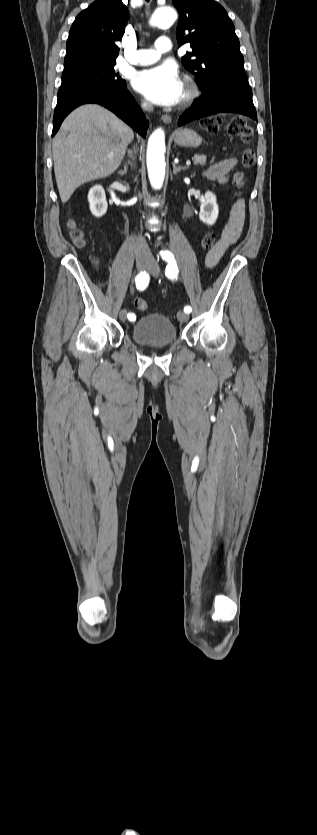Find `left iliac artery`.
<instances>
[{"label":"left iliac artery","mask_w":317,"mask_h":835,"mask_svg":"<svg viewBox=\"0 0 317 835\" xmlns=\"http://www.w3.org/2000/svg\"><path fill=\"white\" fill-rule=\"evenodd\" d=\"M160 255H161L162 259L167 262V266H166V270H165L166 276L171 280L177 279L179 270H178L174 255L169 250L161 251ZM191 311H192V308L189 305L184 307V312L190 313Z\"/></svg>","instance_id":"44dca946"}]
</instances>
